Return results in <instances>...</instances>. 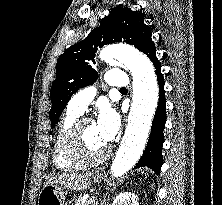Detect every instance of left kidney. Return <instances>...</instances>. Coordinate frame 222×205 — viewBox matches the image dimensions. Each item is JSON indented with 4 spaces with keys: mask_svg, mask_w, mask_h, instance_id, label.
Segmentation results:
<instances>
[{
    "mask_svg": "<svg viewBox=\"0 0 222 205\" xmlns=\"http://www.w3.org/2000/svg\"><path fill=\"white\" fill-rule=\"evenodd\" d=\"M112 205H139V203L135 194L131 192H123L116 196Z\"/></svg>",
    "mask_w": 222,
    "mask_h": 205,
    "instance_id": "obj_1",
    "label": "left kidney"
}]
</instances>
